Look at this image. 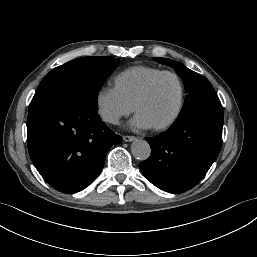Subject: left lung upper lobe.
<instances>
[{"label":"left lung upper lobe","mask_w":257,"mask_h":257,"mask_svg":"<svg viewBox=\"0 0 257 257\" xmlns=\"http://www.w3.org/2000/svg\"><path fill=\"white\" fill-rule=\"evenodd\" d=\"M155 61L161 64L173 66L177 75L183 80L188 95L186 96L185 104L180 115L196 109L208 102L219 99L212 87V84L204 76L188 69L183 64L168 58H155Z\"/></svg>","instance_id":"left-lung-upper-lobe-1"}]
</instances>
